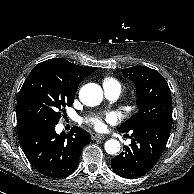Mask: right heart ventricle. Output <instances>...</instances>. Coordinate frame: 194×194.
<instances>
[{
    "mask_svg": "<svg viewBox=\"0 0 194 194\" xmlns=\"http://www.w3.org/2000/svg\"><path fill=\"white\" fill-rule=\"evenodd\" d=\"M104 89H112L117 90L119 92L122 91V84L116 78L113 77H105L102 81Z\"/></svg>",
    "mask_w": 194,
    "mask_h": 194,
    "instance_id": "right-heart-ventricle-1",
    "label": "right heart ventricle"
}]
</instances>
